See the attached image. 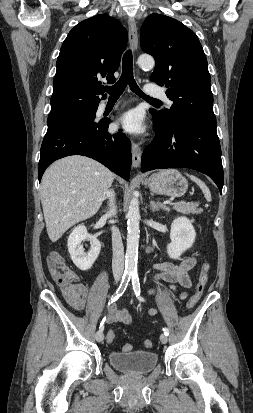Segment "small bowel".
<instances>
[{"instance_id":"obj_1","label":"small bowel","mask_w":253,"mask_h":413,"mask_svg":"<svg viewBox=\"0 0 253 413\" xmlns=\"http://www.w3.org/2000/svg\"><path fill=\"white\" fill-rule=\"evenodd\" d=\"M196 258L193 255L186 256L179 264L171 262H162L154 265L156 270V279L163 280L168 283L169 287L175 291L176 285L185 288L191 286V279L189 271L195 266ZM61 292L68 304L77 311L84 310L87 300L89 298V288L80 282L78 276L75 275L74 280L61 286ZM154 292V291H152ZM182 299L187 297V292L180 294ZM151 315L155 314V310L149 311ZM107 322L109 323H124L129 324L133 320V315L126 309L118 308L116 305H111L107 315Z\"/></svg>"}]
</instances>
